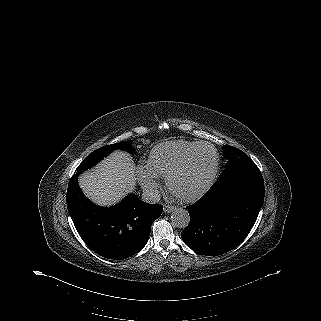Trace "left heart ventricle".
<instances>
[{"mask_svg":"<svg viewBox=\"0 0 321 321\" xmlns=\"http://www.w3.org/2000/svg\"><path fill=\"white\" fill-rule=\"evenodd\" d=\"M215 158L211 148H199L188 167L176 175L172 189L180 195H190L201 189L210 179L214 169Z\"/></svg>","mask_w":321,"mask_h":321,"instance_id":"left-heart-ventricle-1","label":"left heart ventricle"}]
</instances>
